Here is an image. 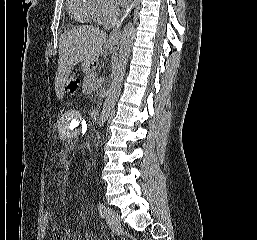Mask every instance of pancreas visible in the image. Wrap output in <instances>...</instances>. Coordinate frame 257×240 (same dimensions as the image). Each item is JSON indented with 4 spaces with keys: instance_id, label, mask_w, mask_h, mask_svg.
I'll list each match as a JSON object with an SVG mask.
<instances>
[{
    "instance_id": "pancreas-1",
    "label": "pancreas",
    "mask_w": 257,
    "mask_h": 240,
    "mask_svg": "<svg viewBox=\"0 0 257 240\" xmlns=\"http://www.w3.org/2000/svg\"><path fill=\"white\" fill-rule=\"evenodd\" d=\"M101 83L96 79V75L94 72L89 71L86 72V76L83 81V89L86 93H89L93 88L100 87Z\"/></svg>"
}]
</instances>
